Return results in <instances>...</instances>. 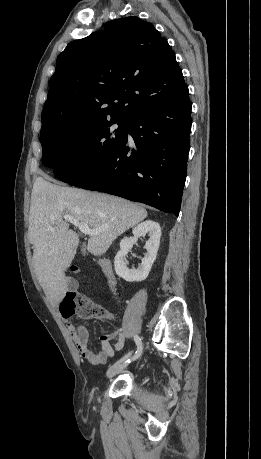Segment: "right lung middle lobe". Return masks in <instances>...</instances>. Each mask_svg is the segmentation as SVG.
Wrapping results in <instances>:
<instances>
[{"mask_svg":"<svg viewBox=\"0 0 261 459\" xmlns=\"http://www.w3.org/2000/svg\"><path fill=\"white\" fill-rule=\"evenodd\" d=\"M117 123L118 128L112 129ZM128 121L111 119L88 126H64L42 132L43 163L71 183L112 156L127 136Z\"/></svg>","mask_w":261,"mask_h":459,"instance_id":"right-lung-middle-lobe-1","label":"right lung middle lobe"}]
</instances>
